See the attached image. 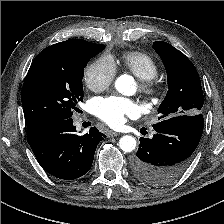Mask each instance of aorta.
<instances>
[{
  "instance_id": "aorta-1",
  "label": "aorta",
  "mask_w": 224,
  "mask_h": 224,
  "mask_svg": "<svg viewBox=\"0 0 224 224\" xmlns=\"http://www.w3.org/2000/svg\"><path fill=\"white\" fill-rule=\"evenodd\" d=\"M115 88L118 92L129 95L134 91L133 79L131 76L122 75L117 78ZM120 149L124 152H132L136 147V140L130 135H125L119 140Z\"/></svg>"
}]
</instances>
